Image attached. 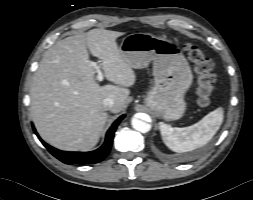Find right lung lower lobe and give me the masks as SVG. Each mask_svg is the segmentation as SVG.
Returning a JSON list of instances; mask_svg holds the SVG:
<instances>
[{"instance_id":"98d812e1","label":"right lung lower lobe","mask_w":253,"mask_h":200,"mask_svg":"<svg viewBox=\"0 0 253 200\" xmlns=\"http://www.w3.org/2000/svg\"><path fill=\"white\" fill-rule=\"evenodd\" d=\"M125 117V115L120 116L110 127L106 134L105 142L104 144L90 152H65L61 150H57L53 148L52 146L48 145L44 141L41 142L43 145L48 149V151L55 156L60 161L66 163V164H92V163H98L102 161L109 153L111 149V145L113 142V137L115 130L117 126L119 125L120 121Z\"/></svg>"}]
</instances>
